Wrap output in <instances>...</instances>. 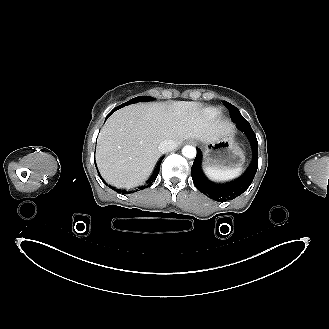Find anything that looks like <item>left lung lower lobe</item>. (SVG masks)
<instances>
[{
	"label": "left lung lower lobe",
	"mask_w": 329,
	"mask_h": 329,
	"mask_svg": "<svg viewBox=\"0 0 329 329\" xmlns=\"http://www.w3.org/2000/svg\"><path fill=\"white\" fill-rule=\"evenodd\" d=\"M239 129L245 134L251 152L252 161L241 177L229 183H215L210 181L201 169V153L197 149V155L191 168L193 183L196 188L207 197L216 201L232 200L244 193L252 183L258 168V141L249 122L237 123Z\"/></svg>",
	"instance_id": "1"
}]
</instances>
